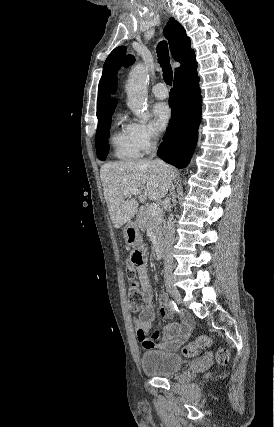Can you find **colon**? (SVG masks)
Listing matches in <instances>:
<instances>
[{"instance_id": "obj_1", "label": "colon", "mask_w": 274, "mask_h": 427, "mask_svg": "<svg viewBox=\"0 0 274 427\" xmlns=\"http://www.w3.org/2000/svg\"><path fill=\"white\" fill-rule=\"evenodd\" d=\"M144 260H145V257L142 249H137L136 251H132L130 254L131 264L128 266V271L131 272L135 264H142ZM142 301H143L142 290L138 286L137 280L135 278H132L130 280L128 306L129 308L135 310L142 304ZM211 343H212L211 335L207 333L200 334L194 340L184 345L183 354L186 357H191L195 355L197 352L209 348ZM216 357H217L218 364L224 365L229 362L231 358V354L228 349L220 348L217 351Z\"/></svg>"}]
</instances>
